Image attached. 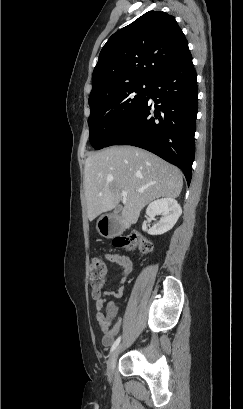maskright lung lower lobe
Masks as SVG:
<instances>
[{"label": "right lung lower lobe", "instance_id": "1", "mask_svg": "<svg viewBox=\"0 0 243 409\" xmlns=\"http://www.w3.org/2000/svg\"><path fill=\"white\" fill-rule=\"evenodd\" d=\"M197 111L196 72L187 48L155 79L144 103L107 147L132 145L146 149L179 167L190 184Z\"/></svg>", "mask_w": 243, "mask_h": 409}]
</instances>
